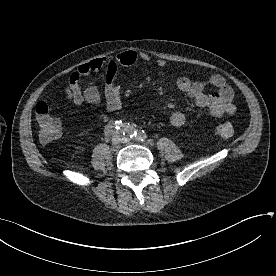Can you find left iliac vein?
<instances>
[{"label":"left iliac vein","mask_w":276,"mask_h":276,"mask_svg":"<svg viewBox=\"0 0 276 276\" xmlns=\"http://www.w3.org/2000/svg\"><path fill=\"white\" fill-rule=\"evenodd\" d=\"M122 140H123L124 142H127V141H128V139H126V138H123Z\"/></svg>","instance_id":"obj_1"}]
</instances>
